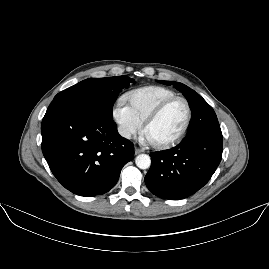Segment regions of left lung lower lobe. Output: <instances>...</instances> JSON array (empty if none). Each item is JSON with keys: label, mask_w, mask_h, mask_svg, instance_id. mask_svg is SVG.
Wrapping results in <instances>:
<instances>
[{"label": "left lung lower lobe", "mask_w": 269, "mask_h": 269, "mask_svg": "<svg viewBox=\"0 0 269 269\" xmlns=\"http://www.w3.org/2000/svg\"><path fill=\"white\" fill-rule=\"evenodd\" d=\"M223 147L222 134H204L177 146L150 153L152 164L145 176L156 196L185 199L201 189L218 167Z\"/></svg>", "instance_id": "left-lung-lower-lobe-1"}]
</instances>
